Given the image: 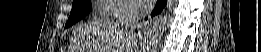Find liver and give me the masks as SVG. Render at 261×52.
<instances>
[{
  "mask_svg": "<svg viewBox=\"0 0 261 52\" xmlns=\"http://www.w3.org/2000/svg\"><path fill=\"white\" fill-rule=\"evenodd\" d=\"M80 35L83 37V50L86 52H110V45L113 44L112 40L115 37H117V48L120 50L116 52H132L133 50L132 41L125 43L127 33L121 30L118 23L108 20H98L85 25L79 31Z\"/></svg>",
  "mask_w": 261,
  "mask_h": 52,
  "instance_id": "6515ba94",
  "label": "liver"
}]
</instances>
